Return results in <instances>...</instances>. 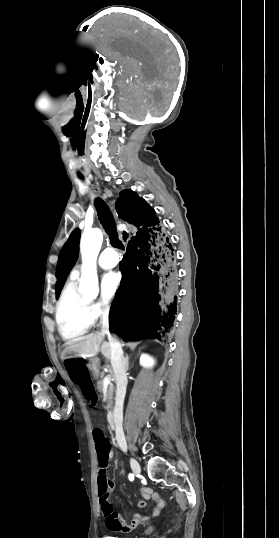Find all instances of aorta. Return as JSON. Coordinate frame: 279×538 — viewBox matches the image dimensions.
<instances>
[{
  "mask_svg": "<svg viewBox=\"0 0 279 538\" xmlns=\"http://www.w3.org/2000/svg\"><path fill=\"white\" fill-rule=\"evenodd\" d=\"M102 241V232L97 228L84 231L81 236L82 268L79 292L87 299L96 298L99 292L96 260Z\"/></svg>",
  "mask_w": 279,
  "mask_h": 538,
  "instance_id": "762f6f07",
  "label": "aorta"
}]
</instances>
